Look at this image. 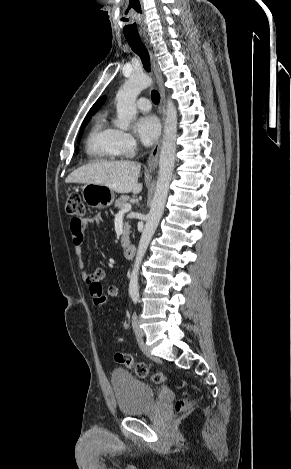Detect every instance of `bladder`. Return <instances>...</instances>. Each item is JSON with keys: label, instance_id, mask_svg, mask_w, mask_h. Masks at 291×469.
Wrapping results in <instances>:
<instances>
[{"label": "bladder", "instance_id": "31cf9c89", "mask_svg": "<svg viewBox=\"0 0 291 469\" xmlns=\"http://www.w3.org/2000/svg\"><path fill=\"white\" fill-rule=\"evenodd\" d=\"M111 385L121 415L140 416L152 410L156 392L149 384L135 378L129 372L115 369L111 373Z\"/></svg>", "mask_w": 291, "mask_h": 469}]
</instances>
